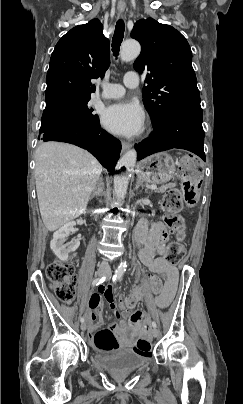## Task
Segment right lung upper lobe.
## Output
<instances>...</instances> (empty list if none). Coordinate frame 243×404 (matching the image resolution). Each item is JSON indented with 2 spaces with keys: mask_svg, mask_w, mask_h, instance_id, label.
<instances>
[{
  "mask_svg": "<svg viewBox=\"0 0 243 404\" xmlns=\"http://www.w3.org/2000/svg\"><path fill=\"white\" fill-rule=\"evenodd\" d=\"M110 64L109 40L98 19L78 25L55 46L47 72L46 103L90 97L91 79L103 78Z\"/></svg>",
  "mask_w": 243,
  "mask_h": 404,
  "instance_id": "obj_1",
  "label": "right lung upper lobe"
}]
</instances>
